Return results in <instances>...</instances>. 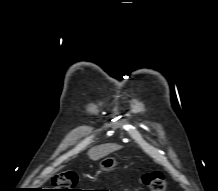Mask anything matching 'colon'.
Here are the masks:
<instances>
[{
	"label": "colon",
	"mask_w": 218,
	"mask_h": 191,
	"mask_svg": "<svg viewBox=\"0 0 218 191\" xmlns=\"http://www.w3.org/2000/svg\"><path fill=\"white\" fill-rule=\"evenodd\" d=\"M144 186L148 191H165L166 180L164 175L158 171L147 172L142 176ZM77 175L72 171H66L55 176L53 183L57 191H79L76 189Z\"/></svg>",
	"instance_id": "1"
}]
</instances>
